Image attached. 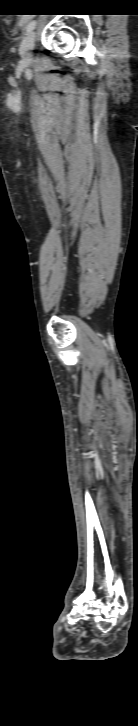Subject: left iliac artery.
I'll list each match as a JSON object with an SVG mask.
<instances>
[{
    "label": "left iliac artery",
    "mask_w": 138,
    "mask_h": 726,
    "mask_svg": "<svg viewBox=\"0 0 138 726\" xmlns=\"http://www.w3.org/2000/svg\"><path fill=\"white\" fill-rule=\"evenodd\" d=\"M36 26V20H32L28 23L26 30L27 32H31Z\"/></svg>",
    "instance_id": "44dca946"
}]
</instances>
